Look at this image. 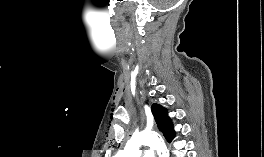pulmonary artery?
<instances>
[{
  "label": "pulmonary artery",
  "mask_w": 264,
  "mask_h": 157,
  "mask_svg": "<svg viewBox=\"0 0 264 157\" xmlns=\"http://www.w3.org/2000/svg\"><path fill=\"white\" fill-rule=\"evenodd\" d=\"M143 157H154V153L152 150H145L143 153Z\"/></svg>",
  "instance_id": "pulmonary-artery-1"
}]
</instances>
